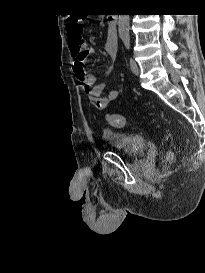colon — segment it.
<instances>
[{
    "label": "colon",
    "mask_w": 205,
    "mask_h": 273,
    "mask_svg": "<svg viewBox=\"0 0 205 273\" xmlns=\"http://www.w3.org/2000/svg\"><path fill=\"white\" fill-rule=\"evenodd\" d=\"M67 30L70 41L76 42L79 45L83 43L82 39L83 27L79 21L77 20L71 21L68 24ZM107 120L111 125L115 127H124L127 124L126 118L121 115L109 114L107 116Z\"/></svg>",
    "instance_id": "5ec220e1"
}]
</instances>
